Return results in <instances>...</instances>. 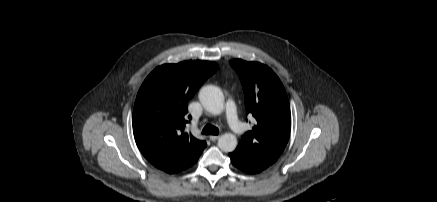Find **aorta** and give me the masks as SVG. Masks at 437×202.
I'll return each instance as SVG.
<instances>
[{"label":"aorta","mask_w":437,"mask_h":202,"mask_svg":"<svg viewBox=\"0 0 437 202\" xmlns=\"http://www.w3.org/2000/svg\"><path fill=\"white\" fill-rule=\"evenodd\" d=\"M199 100L202 106L214 115L220 114L224 109V96L222 91L213 85L200 89ZM218 147L223 152H233L237 147L236 136L232 133L222 134L218 139Z\"/></svg>","instance_id":"762f6f07"}]
</instances>
